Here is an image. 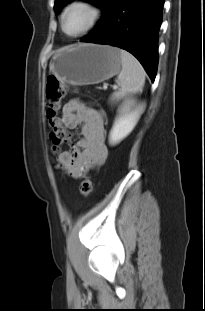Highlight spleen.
Returning a JSON list of instances; mask_svg holds the SVG:
<instances>
[{"mask_svg": "<svg viewBox=\"0 0 205 311\" xmlns=\"http://www.w3.org/2000/svg\"><path fill=\"white\" fill-rule=\"evenodd\" d=\"M122 69L117 76L120 88L111 96V100H120L129 94L142 91L145 83V71L140 62L129 52L120 50ZM131 104V101H127Z\"/></svg>", "mask_w": 205, "mask_h": 311, "instance_id": "spleen-1", "label": "spleen"}]
</instances>
